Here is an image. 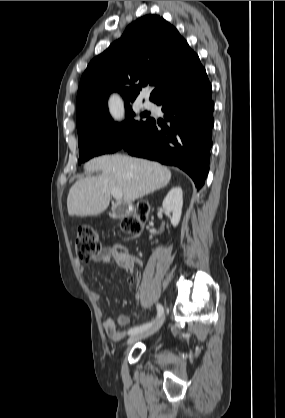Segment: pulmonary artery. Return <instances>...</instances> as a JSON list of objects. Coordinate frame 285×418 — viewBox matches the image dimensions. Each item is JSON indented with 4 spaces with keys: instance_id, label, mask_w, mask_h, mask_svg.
Returning a JSON list of instances; mask_svg holds the SVG:
<instances>
[{
    "instance_id": "pulmonary-artery-1",
    "label": "pulmonary artery",
    "mask_w": 285,
    "mask_h": 418,
    "mask_svg": "<svg viewBox=\"0 0 285 418\" xmlns=\"http://www.w3.org/2000/svg\"><path fill=\"white\" fill-rule=\"evenodd\" d=\"M142 106L145 109H152L153 108V104L149 100H144L143 103H142Z\"/></svg>"
}]
</instances>
